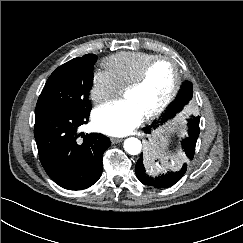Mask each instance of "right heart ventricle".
<instances>
[{
    "label": "right heart ventricle",
    "instance_id": "obj_1",
    "mask_svg": "<svg viewBox=\"0 0 243 243\" xmlns=\"http://www.w3.org/2000/svg\"><path fill=\"white\" fill-rule=\"evenodd\" d=\"M155 57L156 54L146 52H119L107 57L103 64L123 89Z\"/></svg>",
    "mask_w": 243,
    "mask_h": 243
}]
</instances>
